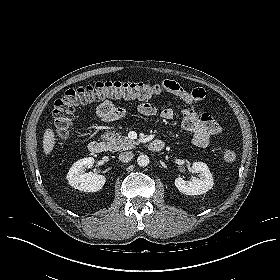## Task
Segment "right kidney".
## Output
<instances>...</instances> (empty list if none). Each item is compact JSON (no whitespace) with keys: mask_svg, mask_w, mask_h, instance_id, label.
<instances>
[{"mask_svg":"<svg viewBox=\"0 0 280 280\" xmlns=\"http://www.w3.org/2000/svg\"><path fill=\"white\" fill-rule=\"evenodd\" d=\"M94 164V158L88 157L76 161L67 174L69 185L84 192H96L102 189L106 178L92 172L85 173L84 169Z\"/></svg>","mask_w":280,"mask_h":280,"instance_id":"ca27d5eb","label":"right kidney"}]
</instances>
